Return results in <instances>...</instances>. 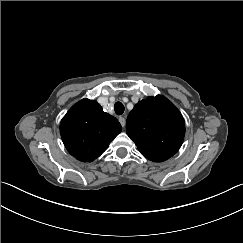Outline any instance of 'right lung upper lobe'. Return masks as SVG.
Returning a JSON list of instances; mask_svg holds the SVG:
<instances>
[{
  "label": "right lung upper lobe",
  "instance_id": "1",
  "mask_svg": "<svg viewBox=\"0 0 243 243\" xmlns=\"http://www.w3.org/2000/svg\"><path fill=\"white\" fill-rule=\"evenodd\" d=\"M118 120L95 101L82 99L63 117L60 131L68 152L82 162L98 158L121 132Z\"/></svg>",
  "mask_w": 243,
  "mask_h": 243
}]
</instances>
